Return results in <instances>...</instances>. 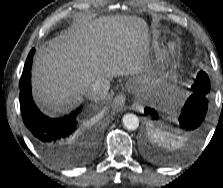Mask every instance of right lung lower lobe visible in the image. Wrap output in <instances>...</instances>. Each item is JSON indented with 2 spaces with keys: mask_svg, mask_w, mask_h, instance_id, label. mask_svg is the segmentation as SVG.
<instances>
[{
  "mask_svg": "<svg viewBox=\"0 0 223 188\" xmlns=\"http://www.w3.org/2000/svg\"><path fill=\"white\" fill-rule=\"evenodd\" d=\"M34 52V49L30 51L20 79V108L24 124L35 145L51 162L61 167L80 166L98 149L99 134L91 129L84 135L82 149L69 148L80 137L79 133L74 135L77 112L52 119L39 111L31 95V64Z\"/></svg>",
  "mask_w": 223,
  "mask_h": 188,
  "instance_id": "1",
  "label": "right lung lower lobe"
}]
</instances>
